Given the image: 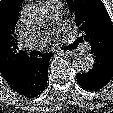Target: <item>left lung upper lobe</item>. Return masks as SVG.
Listing matches in <instances>:
<instances>
[{"label": "left lung upper lobe", "instance_id": "left-lung-upper-lobe-1", "mask_svg": "<svg viewBox=\"0 0 113 113\" xmlns=\"http://www.w3.org/2000/svg\"><path fill=\"white\" fill-rule=\"evenodd\" d=\"M75 14V23L82 36L77 40L88 41L91 46L113 52V26L101 0H68Z\"/></svg>", "mask_w": 113, "mask_h": 113}]
</instances>
